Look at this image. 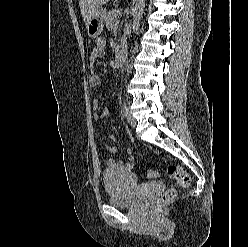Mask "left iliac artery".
Masks as SVG:
<instances>
[{
	"label": "left iliac artery",
	"instance_id": "44dca946",
	"mask_svg": "<svg viewBox=\"0 0 248 247\" xmlns=\"http://www.w3.org/2000/svg\"><path fill=\"white\" fill-rule=\"evenodd\" d=\"M122 110H123V115H124L125 117H127L128 112H129V109H128V107H127V105H126L125 102L123 103Z\"/></svg>",
	"mask_w": 248,
	"mask_h": 247
}]
</instances>
